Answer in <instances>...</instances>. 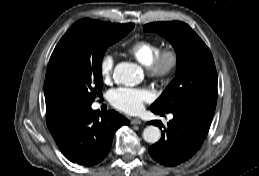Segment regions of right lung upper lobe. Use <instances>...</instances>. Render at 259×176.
<instances>
[{
    "label": "right lung upper lobe",
    "mask_w": 259,
    "mask_h": 176,
    "mask_svg": "<svg viewBox=\"0 0 259 176\" xmlns=\"http://www.w3.org/2000/svg\"><path fill=\"white\" fill-rule=\"evenodd\" d=\"M89 21L94 25L99 26H110L112 23L101 22L98 20L92 19H82L78 22ZM44 94L46 101V115L49 116L57 109L62 106L68 105L69 99L67 95L66 88L64 87L61 79L53 69L51 61H49L46 77H45V85H44Z\"/></svg>",
    "instance_id": "cb5924a9"
}]
</instances>
